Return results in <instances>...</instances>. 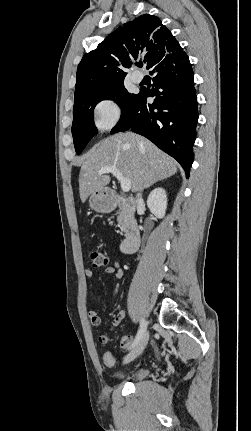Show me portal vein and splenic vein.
Instances as JSON below:
<instances>
[{
	"mask_svg": "<svg viewBox=\"0 0 251 431\" xmlns=\"http://www.w3.org/2000/svg\"><path fill=\"white\" fill-rule=\"evenodd\" d=\"M99 174L111 173L115 176L121 184V189L123 192H129L131 189L130 179L125 178L122 173L114 166L104 167L97 171Z\"/></svg>",
	"mask_w": 251,
	"mask_h": 431,
	"instance_id": "18ae733b",
	"label": "portal vein and splenic vein"
}]
</instances>
